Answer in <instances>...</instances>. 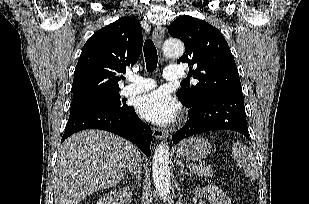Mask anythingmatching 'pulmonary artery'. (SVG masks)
I'll return each mask as SVG.
<instances>
[{
	"mask_svg": "<svg viewBox=\"0 0 309 204\" xmlns=\"http://www.w3.org/2000/svg\"><path fill=\"white\" fill-rule=\"evenodd\" d=\"M186 77L183 70L177 67H168L165 70L164 78L166 80H181ZM156 86L154 80L150 78L136 76L131 79V83L125 86L121 93L125 96L136 95L153 89Z\"/></svg>",
	"mask_w": 309,
	"mask_h": 204,
	"instance_id": "e3ab8cb5",
	"label": "pulmonary artery"
}]
</instances>
